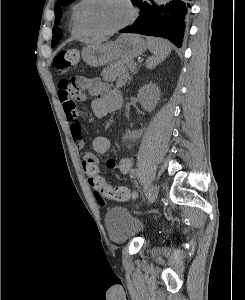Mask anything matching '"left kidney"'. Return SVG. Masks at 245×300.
<instances>
[{
    "label": "left kidney",
    "instance_id": "obj_1",
    "mask_svg": "<svg viewBox=\"0 0 245 300\" xmlns=\"http://www.w3.org/2000/svg\"><path fill=\"white\" fill-rule=\"evenodd\" d=\"M137 97L141 106L148 112H151L158 103L160 90L156 84L150 83L141 87L138 91Z\"/></svg>",
    "mask_w": 245,
    "mask_h": 300
}]
</instances>
